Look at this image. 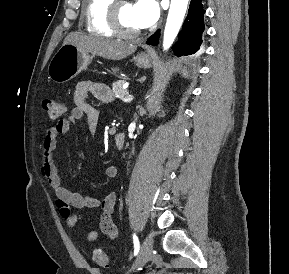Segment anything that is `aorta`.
<instances>
[{"instance_id": "aorta-1", "label": "aorta", "mask_w": 289, "mask_h": 274, "mask_svg": "<svg viewBox=\"0 0 289 274\" xmlns=\"http://www.w3.org/2000/svg\"><path fill=\"white\" fill-rule=\"evenodd\" d=\"M189 0H171L163 36V48L167 50L174 42L185 17Z\"/></svg>"}]
</instances>
